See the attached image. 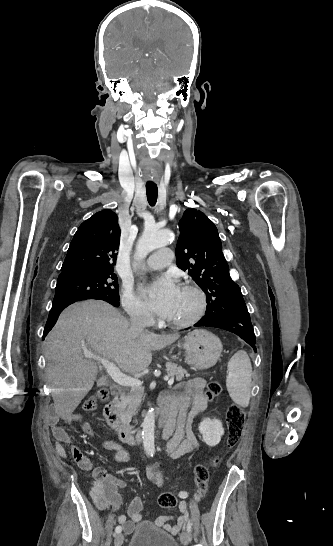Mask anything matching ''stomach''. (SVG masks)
<instances>
[{"mask_svg": "<svg viewBox=\"0 0 333 546\" xmlns=\"http://www.w3.org/2000/svg\"><path fill=\"white\" fill-rule=\"evenodd\" d=\"M186 353V362L195 370L213 367L220 358L222 343L213 333L200 329L185 336L183 343L178 344Z\"/></svg>", "mask_w": 333, "mask_h": 546, "instance_id": "obj_1", "label": "stomach"}]
</instances>
